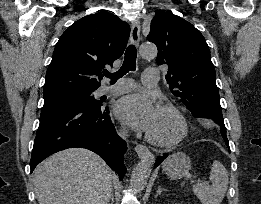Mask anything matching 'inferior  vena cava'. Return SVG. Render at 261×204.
<instances>
[{
    "label": "inferior vena cava",
    "mask_w": 261,
    "mask_h": 204,
    "mask_svg": "<svg viewBox=\"0 0 261 204\" xmlns=\"http://www.w3.org/2000/svg\"><path fill=\"white\" fill-rule=\"evenodd\" d=\"M121 136H122L123 138H125V137L127 136L126 132H125V131H121Z\"/></svg>",
    "instance_id": "602c4592"
}]
</instances>
